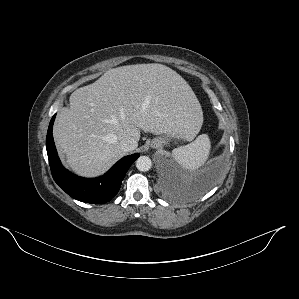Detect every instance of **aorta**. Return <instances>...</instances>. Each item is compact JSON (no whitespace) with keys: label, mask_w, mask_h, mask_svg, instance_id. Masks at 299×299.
Returning a JSON list of instances; mask_svg holds the SVG:
<instances>
[{"label":"aorta","mask_w":299,"mask_h":299,"mask_svg":"<svg viewBox=\"0 0 299 299\" xmlns=\"http://www.w3.org/2000/svg\"><path fill=\"white\" fill-rule=\"evenodd\" d=\"M151 166H152V161L147 156H140L136 160V167L139 171L146 172V171L150 170Z\"/></svg>","instance_id":"762f6f07"}]
</instances>
